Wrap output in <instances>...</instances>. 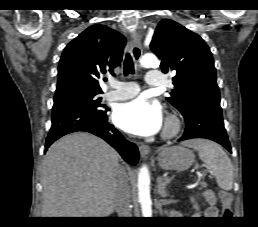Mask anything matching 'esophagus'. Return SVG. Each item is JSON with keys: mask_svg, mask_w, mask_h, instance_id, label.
Here are the masks:
<instances>
[{"mask_svg": "<svg viewBox=\"0 0 258 227\" xmlns=\"http://www.w3.org/2000/svg\"><path fill=\"white\" fill-rule=\"evenodd\" d=\"M130 47H131V52H132L134 59L138 62L142 55L141 38L139 35H137V34L133 35V37L130 41ZM139 151H140L141 157H145L150 153L151 149L148 145L141 144L139 147Z\"/></svg>", "mask_w": 258, "mask_h": 227, "instance_id": "esophagus-1", "label": "esophagus"}]
</instances>
